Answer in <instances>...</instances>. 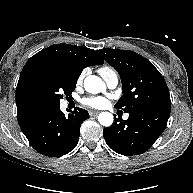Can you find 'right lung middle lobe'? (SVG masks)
I'll use <instances>...</instances> for the list:
<instances>
[{"mask_svg": "<svg viewBox=\"0 0 193 193\" xmlns=\"http://www.w3.org/2000/svg\"><path fill=\"white\" fill-rule=\"evenodd\" d=\"M80 74L58 67L44 66L27 77L23 94L33 105L48 109L59 106L63 94L70 96Z\"/></svg>", "mask_w": 193, "mask_h": 193, "instance_id": "obj_1", "label": "right lung middle lobe"}]
</instances>
